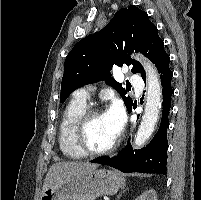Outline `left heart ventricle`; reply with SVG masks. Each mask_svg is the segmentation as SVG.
I'll return each instance as SVG.
<instances>
[{
    "mask_svg": "<svg viewBox=\"0 0 201 200\" xmlns=\"http://www.w3.org/2000/svg\"><path fill=\"white\" fill-rule=\"evenodd\" d=\"M116 136L105 113L96 115L87 124L85 130V142L91 149H103L109 146Z\"/></svg>",
    "mask_w": 201,
    "mask_h": 200,
    "instance_id": "obj_1",
    "label": "left heart ventricle"
}]
</instances>
